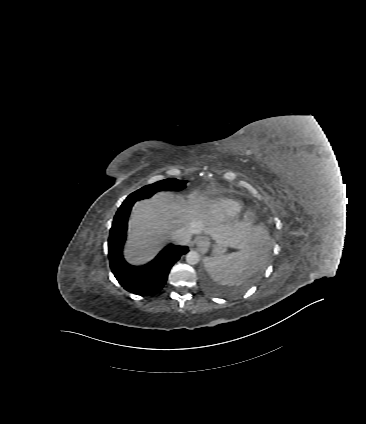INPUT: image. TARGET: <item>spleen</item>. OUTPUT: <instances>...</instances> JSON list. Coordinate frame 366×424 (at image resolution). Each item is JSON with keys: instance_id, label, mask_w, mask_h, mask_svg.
<instances>
[{"instance_id": "1", "label": "spleen", "mask_w": 366, "mask_h": 424, "mask_svg": "<svg viewBox=\"0 0 366 424\" xmlns=\"http://www.w3.org/2000/svg\"><path fill=\"white\" fill-rule=\"evenodd\" d=\"M264 254L265 251L254 245L238 252L208 257L205 267L216 282L222 285H240L256 271Z\"/></svg>"}]
</instances>
